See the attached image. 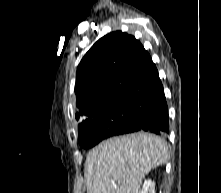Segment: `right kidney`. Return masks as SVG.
I'll return each instance as SVG.
<instances>
[{
	"instance_id": "obj_1",
	"label": "right kidney",
	"mask_w": 221,
	"mask_h": 193,
	"mask_svg": "<svg viewBox=\"0 0 221 193\" xmlns=\"http://www.w3.org/2000/svg\"><path fill=\"white\" fill-rule=\"evenodd\" d=\"M140 193H155V182L151 180H145L143 189Z\"/></svg>"
}]
</instances>
